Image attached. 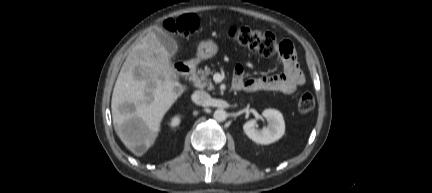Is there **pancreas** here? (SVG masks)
Here are the masks:
<instances>
[{"label":"pancreas","instance_id":"cf45deb5","mask_svg":"<svg viewBox=\"0 0 432 193\" xmlns=\"http://www.w3.org/2000/svg\"><path fill=\"white\" fill-rule=\"evenodd\" d=\"M212 73L213 71L208 67H205L204 69H198L197 73L194 74L192 78L194 86L200 89L203 88H207L208 90L214 89L212 82L207 78Z\"/></svg>","mask_w":432,"mask_h":193}]
</instances>
